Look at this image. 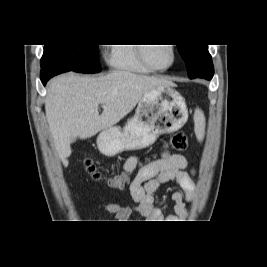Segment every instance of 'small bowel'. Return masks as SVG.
<instances>
[{
  "label": "small bowel",
  "mask_w": 267,
  "mask_h": 267,
  "mask_svg": "<svg viewBox=\"0 0 267 267\" xmlns=\"http://www.w3.org/2000/svg\"><path fill=\"white\" fill-rule=\"evenodd\" d=\"M187 161L184 156L164 152L159 159L140 164L138 156H130L124 163L123 171L127 177L136 171L129 184L133 206L108 204L106 210L114 214L118 222H127L133 213H136L152 222L186 218L188 209L185 201L194 196L195 186L192 175L186 171ZM176 181L181 191H175L172 199L175 202V215L166 216L154 205V194L165 183Z\"/></svg>",
  "instance_id": "1"
}]
</instances>
